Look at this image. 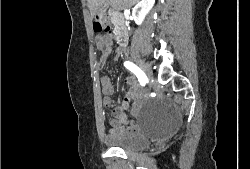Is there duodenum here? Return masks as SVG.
I'll use <instances>...</instances> for the list:
<instances>
[{"label":"duodenum","instance_id":"1","mask_svg":"<svg viewBox=\"0 0 250 169\" xmlns=\"http://www.w3.org/2000/svg\"><path fill=\"white\" fill-rule=\"evenodd\" d=\"M113 23L116 29L115 37L117 41L123 45L127 44L129 40V31L125 22L124 15L120 11H117L113 14Z\"/></svg>","mask_w":250,"mask_h":169}]
</instances>
